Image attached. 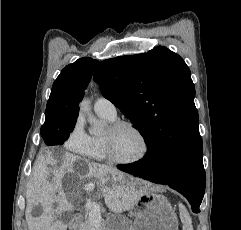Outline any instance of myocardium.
I'll list each match as a JSON object with an SVG mask.
<instances>
[{
    "mask_svg": "<svg viewBox=\"0 0 241 230\" xmlns=\"http://www.w3.org/2000/svg\"><path fill=\"white\" fill-rule=\"evenodd\" d=\"M127 127L133 130L141 139L142 141V152L140 155L136 158L129 159V160H122L119 159L115 156L114 151H113V146H112V136L121 128ZM104 141V148H105V153L107 156V159L117 165H132L141 162L142 160L145 159L149 152V143L147 140V137L143 133V131L137 127L134 123L126 120H118L114 121L110 124L106 134L103 137Z\"/></svg>",
    "mask_w": 241,
    "mask_h": 230,
    "instance_id": "1",
    "label": "myocardium"
}]
</instances>
